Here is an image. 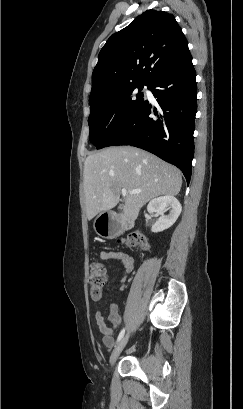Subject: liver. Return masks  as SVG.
<instances>
[{"mask_svg": "<svg viewBox=\"0 0 243 409\" xmlns=\"http://www.w3.org/2000/svg\"><path fill=\"white\" fill-rule=\"evenodd\" d=\"M84 194L88 220L114 208L123 188L141 190L125 197L124 218L137 219L140 209L155 197L175 196L181 172L155 155L131 146L109 147L90 154L84 163Z\"/></svg>", "mask_w": 243, "mask_h": 409, "instance_id": "obj_1", "label": "liver"}]
</instances>
